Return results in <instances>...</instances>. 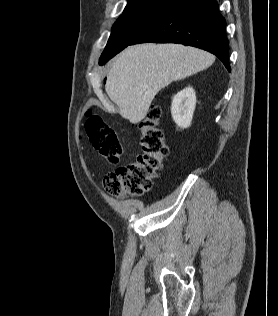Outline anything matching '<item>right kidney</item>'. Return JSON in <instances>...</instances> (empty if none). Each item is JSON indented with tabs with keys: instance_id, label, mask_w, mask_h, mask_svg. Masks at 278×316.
Masks as SVG:
<instances>
[{
	"instance_id": "1",
	"label": "right kidney",
	"mask_w": 278,
	"mask_h": 316,
	"mask_svg": "<svg viewBox=\"0 0 278 316\" xmlns=\"http://www.w3.org/2000/svg\"><path fill=\"white\" fill-rule=\"evenodd\" d=\"M195 106L196 95L192 87H187L174 96L171 114L178 127L184 129L191 125Z\"/></svg>"
}]
</instances>
